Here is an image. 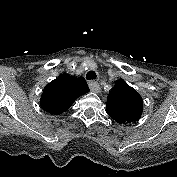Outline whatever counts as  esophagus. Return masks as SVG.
Masks as SVG:
<instances>
[{
	"label": "esophagus",
	"instance_id": "1",
	"mask_svg": "<svg viewBox=\"0 0 177 177\" xmlns=\"http://www.w3.org/2000/svg\"><path fill=\"white\" fill-rule=\"evenodd\" d=\"M88 86H89V89L94 93L101 92V87L96 81H89Z\"/></svg>",
	"mask_w": 177,
	"mask_h": 177
}]
</instances>
